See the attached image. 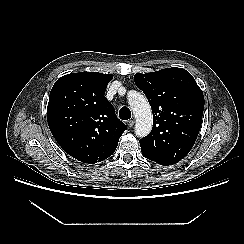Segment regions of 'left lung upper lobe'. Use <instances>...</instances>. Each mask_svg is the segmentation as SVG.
<instances>
[{
  "mask_svg": "<svg viewBox=\"0 0 244 244\" xmlns=\"http://www.w3.org/2000/svg\"><path fill=\"white\" fill-rule=\"evenodd\" d=\"M153 112L151 133L140 139L142 154L160 165H173L192 149L202 123L204 96L182 68L135 74Z\"/></svg>",
  "mask_w": 244,
  "mask_h": 244,
  "instance_id": "obj_1",
  "label": "left lung upper lobe"
}]
</instances>
